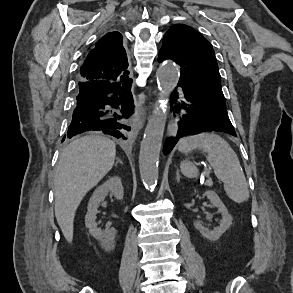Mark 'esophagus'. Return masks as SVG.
<instances>
[{
    "instance_id": "esophagus-1",
    "label": "esophagus",
    "mask_w": 293,
    "mask_h": 293,
    "mask_svg": "<svg viewBox=\"0 0 293 293\" xmlns=\"http://www.w3.org/2000/svg\"><path fill=\"white\" fill-rule=\"evenodd\" d=\"M136 121H137V127L138 129H141L143 127V124L145 122V110H139L136 114Z\"/></svg>"
}]
</instances>
